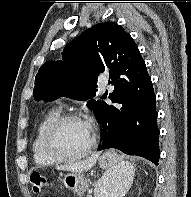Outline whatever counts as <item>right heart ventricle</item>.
<instances>
[{
  "instance_id": "e07e8e85",
  "label": "right heart ventricle",
  "mask_w": 191,
  "mask_h": 197,
  "mask_svg": "<svg viewBox=\"0 0 191 197\" xmlns=\"http://www.w3.org/2000/svg\"><path fill=\"white\" fill-rule=\"evenodd\" d=\"M58 116H60V109L59 108H53L50 109L44 117L39 122L36 133L32 142V155L33 160L36 165L38 166H49L56 163L53 159L48 157L42 147V138L43 134L46 130V128L49 126V124L55 120Z\"/></svg>"
}]
</instances>
